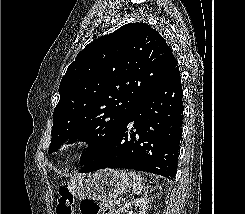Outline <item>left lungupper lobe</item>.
<instances>
[{"label":"left lung upper lobe","mask_w":245,"mask_h":214,"mask_svg":"<svg viewBox=\"0 0 245 214\" xmlns=\"http://www.w3.org/2000/svg\"><path fill=\"white\" fill-rule=\"evenodd\" d=\"M177 66L164 38L146 23L123 25L89 43L61 80L48 153L67 140L86 141L84 165Z\"/></svg>","instance_id":"obj_1"}]
</instances>
